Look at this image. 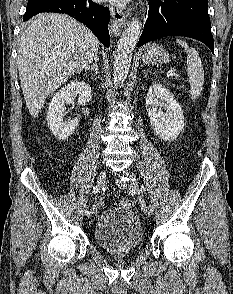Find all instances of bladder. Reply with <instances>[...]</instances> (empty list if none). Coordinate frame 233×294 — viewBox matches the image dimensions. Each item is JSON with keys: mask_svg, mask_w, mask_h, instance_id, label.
Listing matches in <instances>:
<instances>
[{"mask_svg": "<svg viewBox=\"0 0 233 294\" xmlns=\"http://www.w3.org/2000/svg\"><path fill=\"white\" fill-rule=\"evenodd\" d=\"M93 236L103 251L112 255H125L141 247L144 230L133 211L114 207L102 213L94 227Z\"/></svg>", "mask_w": 233, "mask_h": 294, "instance_id": "31cf9c89", "label": "bladder"}]
</instances>
